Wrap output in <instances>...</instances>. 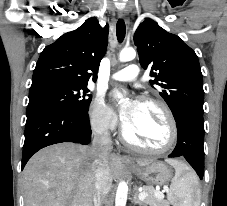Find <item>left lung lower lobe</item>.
Returning a JSON list of instances; mask_svg holds the SVG:
<instances>
[{
    "label": "left lung lower lobe",
    "mask_w": 227,
    "mask_h": 206,
    "mask_svg": "<svg viewBox=\"0 0 227 206\" xmlns=\"http://www.w3.org/2000/svg\"><path fill=\"white\" fill-rule=\"evenodd\" d=\"M204 111L187 109L176 121L177 145L168 157H184L194 168L199 178L204 173Z\"/></svg>",
    "instance_id": "1"
}]
</instances>
